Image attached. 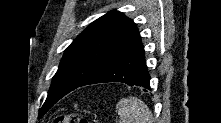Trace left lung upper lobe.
<instances>
[{"mask_svg": "<svg viewBox=\"0 0 221 123\" xmlns=\"http://www.w3.org/2000/svg\"><path fill=\"white\" fill-rule=\"evenodd\" d=\"M139 42L135 23L121 12L110 11L95 20L66 48L40 115Z\"/></svg>", "mask_w": 221, "mask_h": 123, "instance_id": "1", "label": "left lung upper lobe"}]
</instances>
